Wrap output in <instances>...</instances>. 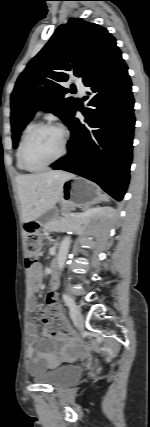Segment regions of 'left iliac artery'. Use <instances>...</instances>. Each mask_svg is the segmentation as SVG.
<instances>
[{
	"instance_id": "1",
	"label": "left iliac artery",
	"mask_w": 150,
	"mask_h": 427,
	"mask_svg": "<svg viewBox=\"0 0 150 427\" xmlns=\"http://www.w3.org/2000/svg\"><path fill=\"white\" fill-rule=\"evenodd\" d=\"M62 298L70 309L71 317L74 318L76 315V312H77V306H76L74 300L71 297H69L67 294H63Z\"/></svg>"
}]
</instances>
